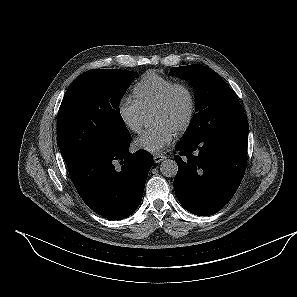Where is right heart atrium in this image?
Masks as SVG:
<instances>
[{
	"instance_id": "d8ad5b80",
	"label": "right heart atrium",
	"mask_w": 297,
	"mask_h": 297,
	"mask_svg": "<svg viewBox=\"0 0 297 297\" xmlns=\"http://www.w3.org/2000/svg\"><path fill=\"white\" fill-rule=\"evenodd\" d=\"M117 115L123 126L131 132H139L142 127L143 110L128 96L119 98L116 105Z\"/></svg>"
}]
</instances>
